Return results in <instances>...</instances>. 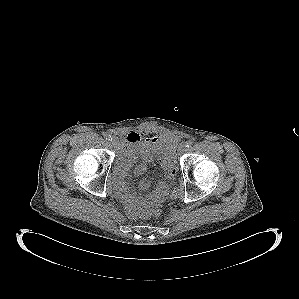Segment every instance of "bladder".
Listing matches in <instances>:
<instances>
[{
  "instance_id": "1",
  "label": "bladder",
  "mask_w": 299,
  "mask_h": 299,
  "mask_svg": "<svg viewBox=\"0 0 299 299\" xmlns=\"http://www.w3.org/2000/svg\"><path fill=\"white\" fill-rule=\"evenodd\" d=\"M175 146V145H174ZM174 146L172 149H170L171 154L174 156Z\"/></svg>"
}]
</instances>
